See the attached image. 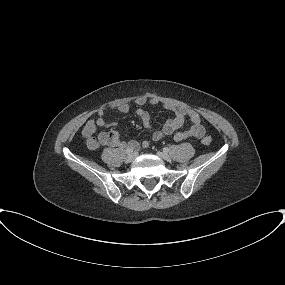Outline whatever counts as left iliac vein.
Instances as JSON below:
<instances>
[{"label": "left iliac vein", "instance_id": "obj_1", "mask_svg": "<svg viewBox=\"0 0 285 285\" xmlns=\"http://www.w3.org/2000/svg\"><path fill=\"white\" fill-rule=\"evenodd\" d=\"M157 156L159 158H161L162 160H169L170 159V157H169V155L167 153L161 152V151L157 152Z\"/></svg>", "mask_w": 285, "mask_h": 285}]
</instances>
